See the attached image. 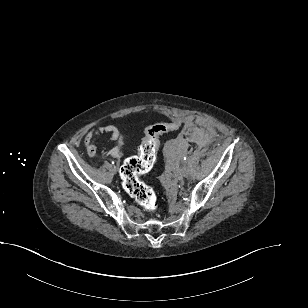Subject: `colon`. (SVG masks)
Here are the masks:
<instances>
[{
    "label": "colon",
    "mask_w": 308,
    "mask_h": 308,
    "mask_svg": "<svg viewBox=\"0 0 308 308\" xmlns=\"http://www.w3.org/2000/svg\"><path fill=\"white\" fill-rule=\"evenodd\" d=\"M178 126L177 122H165L147 127L138 154L127 159L121 167L120 175L125 191L150 213L157 208L156 193L151 186L140 179V176L152 169L156 160L160 136L175 130Z\"/></svg>",
    "instance_id": "obj_1"
}]
</instances>
